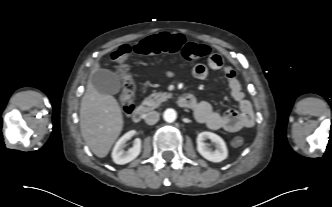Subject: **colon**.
<instances>
[{"instance_id": "colon-1", "label": "colon", "mask_w": 332, "mask_h": 207, "mask_svg": "<svg viewBox=\"0 0 332 207\" xmlns=\"http://www.w3.org/2000/svg\"><path fill=\"white\" fill-rule=\"evenodd\" d=\"M133 53H170L180 54L187 62H193L210 54V49L204 44L189 42L182 34L160 33L150 36L136 44H123L112 53V60L116 64L118 73L122 78L121 107L126 114H130L134 107L136 84L130 73L128 57ZM217 58L215 55L213 56ZM241 136L234 140L235 145H241Z\"/></svg>"}]
</instances>
